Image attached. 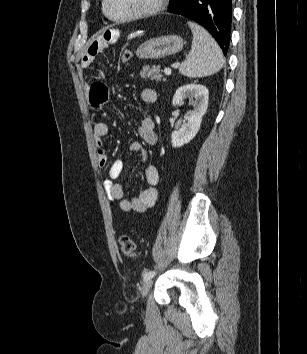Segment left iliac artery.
I'll return each instance as SVG.
<instances>
[{"label":"left iliac artery","instance_id":"1","mask_svg":"<svg viewBox=\"0 0 307 354\" xmlns=\"http://www.w3.org/2000/svg\"><path fill=\"white\" fill-rule=\"evenodd\" d=\"M155 275V271H148L143 274V280L146 281Z\"/></svg>","mask_w":307,"mask_h":354}]
</instances>
